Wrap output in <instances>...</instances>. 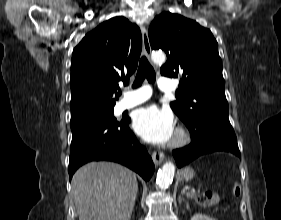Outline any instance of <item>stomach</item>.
Returning a JSON list of instances; mask_svg holds the SVG:
<instances>
[{
    "label": "stomach",
    "instance_id": "obj_1",
    "mask_svg": "<svg viewBox=\"0 0 281 220\" xmlns=\"http://www.w3.org/2000/svg\"><path fill=\"white\" fill-rule=\"evenodd\" d=\"M194 170L190 167H186L181 172V177L184 181H189L194 177Z\"/></svg>",
    "mask_w": 281,
    "mask_h": 220
}]
</instances>
